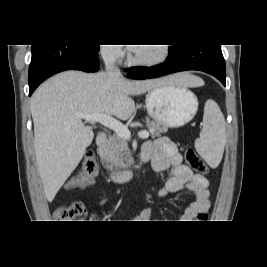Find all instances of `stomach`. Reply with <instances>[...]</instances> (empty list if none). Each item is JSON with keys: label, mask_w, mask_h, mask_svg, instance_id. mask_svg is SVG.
Here are the masks:
<instances>
[{"label": "stomach", "mask_w": 267, "mask_h": 267, "mask_svg": "<svg viewBox=\"0 0 267 267\" xmlns=\"http://www.w3.org/2000/svg\"><path fill=\"white\" fill-rule=\"evenodd\" d=\"M146 109L149 116L166 127H181L190 122L198 109L196 95L187 87L164 85L148 91Z\"/></svg>", "instance_id": "1"}]
</instances>
